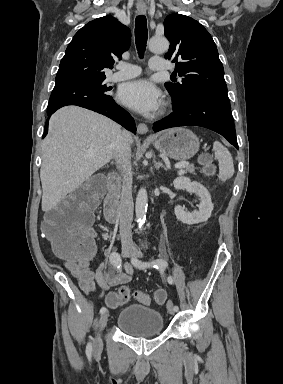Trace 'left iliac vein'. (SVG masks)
Wrapping results in <instances>:
<instances>
[{
  "label": "left iliac vein",
  "mask_w": 283,
  "mask_h": 384,
  "mask_svg": "<svg viewBox=\"0 0 283 384\" xmlns=\"http://www.w3.org/2000/svg\"><path fill=\"white\" fill-rule=\"evenodd\" d=\"M142 257V254L136 250V249H133L132 252H131V262L133 265H135V262ZM167 309H168V312L170 314H174L175 313V310H174V307H173V303L172 301H169L168 304H167Z\"/></svg>",
  "instance_id": "left-iliac-vein-1"
}]
</instances>
